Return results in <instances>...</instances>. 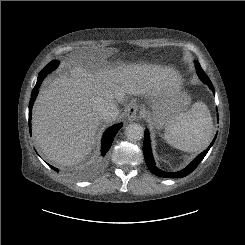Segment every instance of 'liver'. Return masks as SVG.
Returning <instances> with one entry per match:
<instances>
[{
	"label": "liver",
	"instance_id": "6515ba94",
	"mask_svg": "<svg viewBox=\"0 0 245 245\" xmlns=\"http://www.w3.org/2000/svg\"><path fill=\"white\" fill-rule=\"evenodd\" d=\"M41 88L32 114L36 146L58 166L82 162L95 143L99 99L123 103L125 95H146L168 85H180L177 72L159 65L120 64L88 68L74 65Z\"/></svg>",
	"mask_w": 245,
	"mask_h": 245
}]
</instances>
